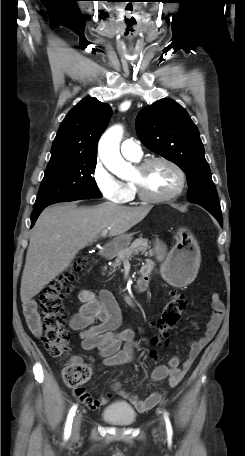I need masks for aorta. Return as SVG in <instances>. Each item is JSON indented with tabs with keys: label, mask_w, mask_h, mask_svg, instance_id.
Instances as JSON below:
<instances>
[{
	"label": "aorta",
	"mask_w": 245,
	"mask_h": 456,
	"mask_svg": "<svg viewBox=\"0 0 245 456\" xmlns=\"http://www.w3.org/2000/svg\"><path fill=\"white\" fill-rule=\"evenodd\" d=\"M122 135L121 125L112 126L102 135L98 145L101 161L110 172L120 178L125 177L131 167L120 154L119 143Z\"/></svg>",
	"instance_id": "obj_1"
}]
</instances>
